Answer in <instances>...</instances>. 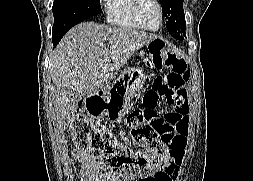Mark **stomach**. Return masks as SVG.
Here are the masks:
<instances>
[{"label": "stomach", "instance_id": "0dacf381", "mask_svg": "<svg viewBox=\"0 0 253 181\" xmlns=\"http://www.w3.org/2000/svg\"><path fill=\"white\" fill-rule=\"evenodd\" d=\"M140 88V77L137 70L130 68L124 71L115 81L104 88H100L83 100V107L89 117L107 119L118 122L130 109L126 102Z\"/></svg>", "mask_w": 253, "mask_h": 181}]
</instances>
